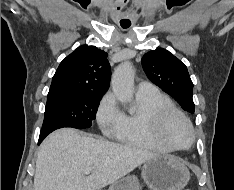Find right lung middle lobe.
I'll use <instances>...</instances> for the list:
<instances>
[{"mask_svg":"<svg viewBox=\"0 0 234 190\" xmlns=\"http://www.w3.org/2000/svg\"><path fill=\"white\" fill-rule=\"evenodd\" d=\"M101 97L62 90H49L40 136L46 137L52 131L63 127L77 129L91 127Z\"/></svg>","mask_w":234,"mask_h":190,"instance_id":"right-lung-middle-lobe-1","label":"right lung middle lobe"}]
</instances>
